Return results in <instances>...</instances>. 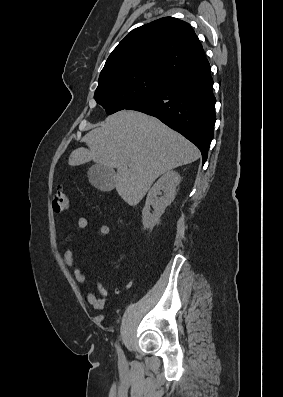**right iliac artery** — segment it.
Masks as SVG:
<instances>
[{
    "label": "right iliac artery",
    "instance_id": "obj_1",
    "mask_svg": "<svg viewBox=\"0 0 283 397\" xmlns=\"http://www.w3.org/2000/svg\"><path fill=\"white\" fill-rule=\"evenodd\" d=\"M117 352H118L119 358H120V359H123V358H124V355H123V352H122V350H121V348H120L119 345L117 346Z\"/></svg>",
    "mask_w": 283,
    "mask_h": 397
}]
</instances>
